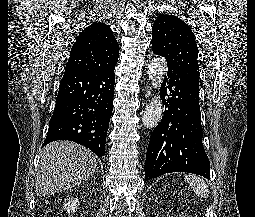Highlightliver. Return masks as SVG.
Instances as JSON below:
<instances>
[{"instance_id":"6515ba94","label":"liver","mask_w":255,"mask_h":217,"mask_svg":"<svg viewBox=\"0 0 255 217\" xmlns=\"http://www.w3.org/2000/svg\"><path fill=\"white\" fill-rule=\"evenodd\" d=\"M96 166V156L84 146L51 142L40 153L36 193L46 196L79 185L94 174Z\"/></svg>"}]
</instances>
